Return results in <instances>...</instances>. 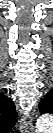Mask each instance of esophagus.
<instances>
[{
  "instance_id": "obj_1",
  "label": "esophagus",
  "mask_w": 53,
  "mask_h": 133,
  "mask_svg": "<svg viewBox=\"0 0 53 133\" xmlns=\"http://www.w3.org/2000/svg\"><path fill=\"white\" fill-rule=\"evenodd\" d=\"M32 115H23L21 119V127L24 133H33L34 128L32 125Z\"/></svg>"
}]
</instances>
